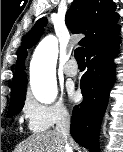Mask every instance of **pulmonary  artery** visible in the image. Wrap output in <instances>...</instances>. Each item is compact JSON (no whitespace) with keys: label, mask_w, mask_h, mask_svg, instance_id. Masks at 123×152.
Here are the masks:
<instances>
[{"label":"pulmonary artery","mask_w":123,"mask_h":152,"mask_svg":"<svg viewBox=\"0 0 123 152\" xmlns=\"http://www.w3.org/2000/svg\"><path fill=\"white\" fill-rule=\"evenodd\" d=\"M63 72L66 76L69 77L76 76L78 73V67L75 60L68 61L63 67Z\"/></svg>","instance_id":"pulmonary-artery-1"}]
</instances>
